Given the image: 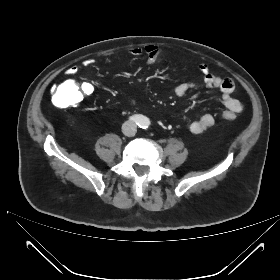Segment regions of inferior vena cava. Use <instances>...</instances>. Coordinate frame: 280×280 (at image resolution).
<instances>
[{"instance_id":"1","label":"inferior vena cava","mask_w":280,"mask_h":280,"mask_svg":"<svg viewBox=\"0 0 280 280\" xmlns=\"http://www.w3.org/2000/svg\"><path fill=\"white\" fill-rule=\"evenodd\" d=\"M123 133L127 136H134L136 133V125L133 122H125L122 126Z\"/></svg>"}]
</instances>
